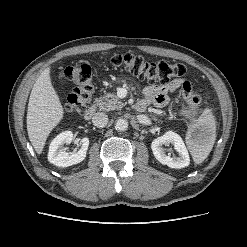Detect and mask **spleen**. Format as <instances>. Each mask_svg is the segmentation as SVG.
<instances>
[{
    "label": "spleen",
    "instance_id": "obj_1",
    "mask_svg": "<svg viewBox=\"0 0 247 247\" xmlns=\"http://www.w3.org/2000/svg\"><path fill=\"white\" fill-rule=\"evenodd\" d=\"M194 127L201 128L206 133L203 141H194L190 138V135L187 137V144L192 158L196 164H200L208 157L216 138V125L212 110L205 108Z\"/></svg>",
    "mask_w": 247,
    "mask_h": 247
}]
</instances>
